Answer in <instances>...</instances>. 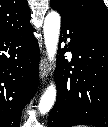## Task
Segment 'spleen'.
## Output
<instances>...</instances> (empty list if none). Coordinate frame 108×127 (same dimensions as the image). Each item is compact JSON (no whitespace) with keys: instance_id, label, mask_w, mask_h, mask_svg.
Here are the masks:
<instances>
[{"instance_id":"1","label":"spleen","mask_w":108,"mask_h":127,"mask_svg":"<svg viewBox=\"0 0 108 127\" xmlns=\"http://www.w3.org/2000/svg\"><path fill=\"white\" fill-rule=\"evenodd\" d=\"M76 127H87V126H85V125H78V126H76Z\"/></svg>"}]
</instances>
